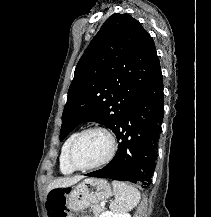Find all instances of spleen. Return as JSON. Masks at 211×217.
<instances>
[{
  "instance_id": "spleen-1",
  "label": "spleen",
  "mask_w": 211,
  "mask_h": 217,
  "mask_svg": "<svg viewBox=\"0 0 211 217\" xmlns=\"http://www.w3.org/2000/svg\"><path fill=\"white\" fill-rule=\"evenodd\" d=\"M114 201L110 209L117 214H123L132 210L140 201V192L124 182L112 181Z\"/></svg>"
}]
</instances>
